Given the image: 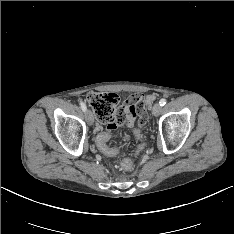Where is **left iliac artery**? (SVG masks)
Masks as SVG:
<instances>
[{"label": "left iliac artery", "instance_id": "left-iliac-artery-1", "mask_svg": "<svg viewBox=\"0 0 234 234\" xmlns=\"http://www.w3.org/2000/svg\"><path fill=\"white\" fill-rule=\"evenodd\" d=\"M159 103L161 106H164L166 104V99H161Z\"/></svg>", "mask_w": 234, "mask_h": 234}]
</instances>
